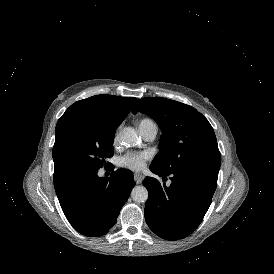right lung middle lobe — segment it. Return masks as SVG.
Instances as JSON below:
<instances>
[{
  "label": "right lung middle lobe",
  "mask_w": 274,
  "mask_h": 274,
  "mask_svg": "<svg viewBox=\"0 0 274 274\" xmlns=\"http://www.w3.org/2000/svg\"><path fill=\"white\" fill-rule=\"evenodd\" d=\"M124 118L113 112L86 113L65 122L53 147L54 164L60 174L99 170L114 154L115 131Z\"/></svg>",
  "instance_id": "1"
}]
</instances>
